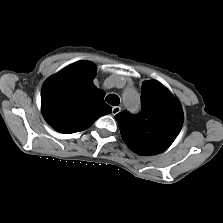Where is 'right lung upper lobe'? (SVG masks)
<instances>
[{
  "label": "right lung upper lobe",
  "mask_w": 223,
  "mask_h": 223,
  "mask_svg": "<svg viewBox=\"0 0 223 223\" xmlns=\"http://www.w3.org/2000/svg\"><path fill=\"white\" fill-rule=\"evenodd\" d=\"M91 62H75L50 77L41 91V109L47 123L56 131L70 134L90 127L100 116L111 113L104 92L93 79Z\"/></svg>",
  "instance_id": "right-lung-upper-lobe-1"
}]
</instances>
